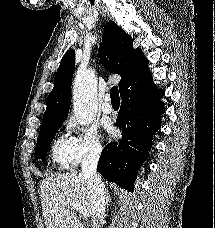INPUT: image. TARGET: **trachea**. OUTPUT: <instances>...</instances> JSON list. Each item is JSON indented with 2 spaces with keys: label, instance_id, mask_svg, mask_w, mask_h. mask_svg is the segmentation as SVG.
I'll list each match as a JSON object with an SVG mask.
<instances>
[{
  "label": "trachea",
  "instance_id": "obj_1",
  "mask_svg": "<svg viewBox=\"0 0 215 228\" xmlns=\"http://www.w3.org/2000/svg\"><path fill=\"white\" fill-rule=\"evenodd\" d=\"M110 97H111L112 104L120 103L119 90L117 86H114L113 88H111Z\"/></svg>",
  "mask_w": 215,
  "mask_h": 228
}]
</instances>
